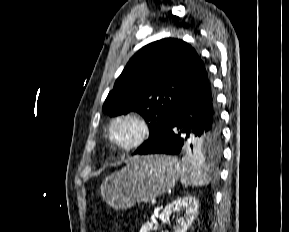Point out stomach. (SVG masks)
I'll return each instance as SVG.
<instances>
[{"mask_svg":"<svg viewBox=\"0 0 289 232\" xmlns=\"http://www.w3.org/2000/svg\"><path fill=\"white\" fill-rule=\"evenodd\" d=\"M180 164L166 155L137 156L101 185L103 200L116 210L148 202L170 190L178 180Z\"/></svg>","mask_w":289,"mask_h":232,"instance_id":"1","label":"stomach"}]
</instances>
